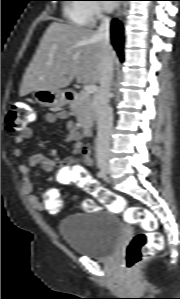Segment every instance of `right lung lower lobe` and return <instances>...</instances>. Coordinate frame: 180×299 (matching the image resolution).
<instances>
[{"instance_id": "98d812e1", "label": "right lung lower lobe", "mask_w": 180, "mask_h": 299, "mask_svg": "<svg viewBox=\"0 0 180 299\" xmlns=\"http://www.w3.org/2000/svg\"><path fill=\"white\" fill-rule=\"evenodd\" d=\"M111 42L113 47L115 48L119 58L121 61L124 60L123 55V44H122V27L119 21L114 19L111 22Z\"/></svg>"}]
</instances>
